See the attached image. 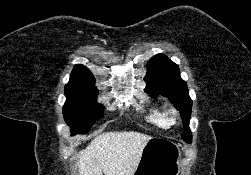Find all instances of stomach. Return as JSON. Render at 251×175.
Here are the masks:
<instances>
[{
  "instance_id": "0dacf381",
  "label": "stomach",
  "mask_w": 251,
  "mask_h": 175,
  "mask_svg": "<svg viewBox=\"0 0 251 175\" xmlns=\"http://www.w3.org/2000/svg\"><path fill=\"white\" fill-rule=\"evenodd\" d=\"M181 147L167 137H151L132 175H179Z\"/></svg>"
}]
</instances>
